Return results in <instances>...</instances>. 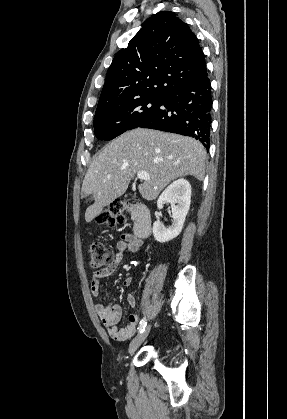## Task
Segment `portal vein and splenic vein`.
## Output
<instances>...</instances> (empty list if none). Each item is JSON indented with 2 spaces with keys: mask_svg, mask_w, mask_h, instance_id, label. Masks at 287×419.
Wrapping results in <instances>:
<instances>
[{
  "mask_svg": "<svg viewBox=\"0 0 287 419\" xmlns=\"http://www.w3.org/2000/svg\"><path fill=\"white\" fill-rule=\"evenodd\" d=\"M137 178L140 179V180H149L150 179L149 175L145 171H139L137 173Z\"/></svg>",
  "mask_w": 287,
  "mask_h": 419,
  "instance_id": "18ae733b",
  "label": "portal vein and splenic vein"
}]
</instances>
